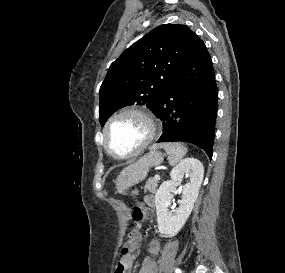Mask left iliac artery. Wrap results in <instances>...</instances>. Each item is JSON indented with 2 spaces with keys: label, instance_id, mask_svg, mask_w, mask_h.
<instances>
[{
  "label": "left iliac artery",
  "instance_id": "left-iliac-artery-1",
  "mask_svg": "<svg viewBox=\"0 0 285 273\" xmlns=\"http://www.w3.org/2000/svg\"><path fill=\"white\" fill-rule=\"evenodd\" d=\"M175 273H182V271H181V269L176 268V269H175Z\"/></svg>",
  "mask_w": 285,
  "mask_h": 273
}]
</instances>
